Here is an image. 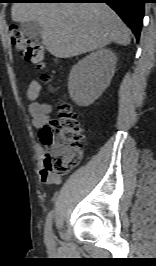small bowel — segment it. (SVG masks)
<instances>
[{
    "label": "small bowel",
    "mask_w": 156,
    "mask_h": 266,
    "mask_svg": "<svg viewBox=\"0 0 156 266\" xmlns=\"http://www.w3.org/2000/svg\"><path fill=\"white\" fill-rule=\"evenodd\" d=\"M39 91L40 85L38 82L33 81L29 86L28 95L31 99H35L38 96ZM28 110L32 117L33 125L36 128H43L48 124L52 112V107L49 104L33 101L29 104ZM43 155V148L37 144L35 147V156L38 159H41ZM39 173L41 181L45 184L54 185L60 183L61 179L59 175L50 174L46 172L44 168H41Z\"/></svg>",
    "instance_id": "small-bowel-1"
}]
</instances>
